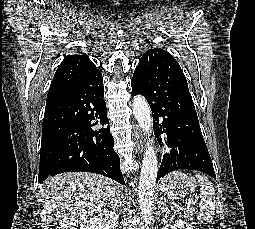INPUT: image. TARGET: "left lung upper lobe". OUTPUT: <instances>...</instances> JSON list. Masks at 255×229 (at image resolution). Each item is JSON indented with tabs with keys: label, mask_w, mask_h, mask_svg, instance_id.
<instances>
[{
	"label": "left lung upper lobe",
	"mask_w": 255,
	"mask_h": 229,
	"mask_svg": "<svg viewBox=\"0 0 255 229\" xmlns=\"http://www.w3.org/2000/svg\"><path fill=\"white\" fill-rule=\"evenodd\" d=\"M157 50H159L158 48H155V49H150V50H148L147 52H152V51H157ZM146 52V53H147Z\"/></svg>",
	"instance_id": "1"
}]
</instances>
